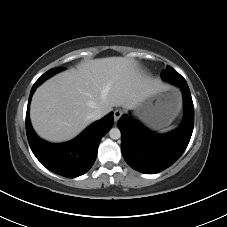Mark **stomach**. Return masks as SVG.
<instances>
[{
    "mask_svg": "<svg viewBox=\"0 0 227 227\" xmlns=\"http://www.w3.org/2000/svg\"><path fill=\"white\" fill-rule=\"evenodd\" d=\"M180 103V94L176 90L153 93L136 107V115L148 126L161 128L176 117Z\"/></svg>",
    "mask_w": 227,
    "mask_h": 227,
    "instance_id": "0dacf381",
    "label": "stomach"
}]
</instances>
